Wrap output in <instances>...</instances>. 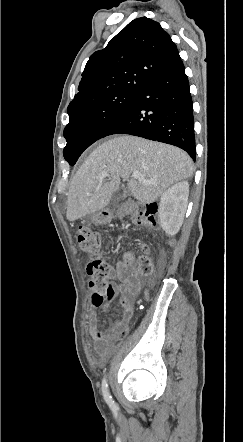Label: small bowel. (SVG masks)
<instances>
[{
	"instance_id": "c3829d8e",
	"label": "small bowel",
	"mask_w": 243,
	"mask_h": 442,
	"mask_svg": "<svg viewBox=\"0 0 243 442\" xmlns=\"http://www.w3.org/2000/svg\"><path fill=\"white\" fill-rule=\"evenodd\" d=\"M116 277L120 284H112L114 290L113 299L117 294L119 297V305L123 309L122 321H128L131 314L133 303L141 291L144 281L137 274L134 266L127 265L121 261L116 263ZM90 331L95 338L94 349L97 355V362L103 363L109 355V341L104 336V331L98 327L97 311L95 307H91L88 313ZM115 333L118 331L117 324L111 328Z\"/></svg>"
}]
</instances>
